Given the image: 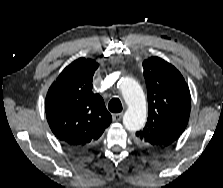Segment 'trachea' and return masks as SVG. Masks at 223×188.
I'll list each match as a JSON object with an SVG mask.
<instances>
[{
    "mask_svg": "<svg viewBox=\"0 0 223 188\" xmlns=\"http://www.w3.org/2000/svg\"><path fill=\"white\" fill-rule=\"evenodd\" d=\"M108 109L113 113L122 111V103L119 98H112L108 104Z\"/></svg>",
    "mask_w": 223,
    "mask_h": 188,
    "instance_id": "3493384b",
    "label": "trachea"
}]
</instances>
